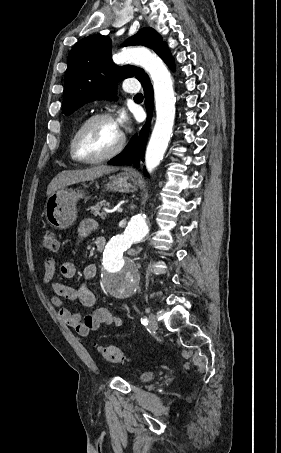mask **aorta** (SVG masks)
<instances>
[{
	"instance_id": "aorta-1",
	"label": "aorta",
	"mask_w": 281,
	"mask_h": 453,
	"mask_svg": "<svg viewBox=\"0 0 281 453\" xmlns=\"http://www.w3.org/2000/svg\"><path fill=\"white\" fill-rule=\"evenodd\" d=\"M113 61L142 67L153 82L156 122L145 153V165L151 173L162 161L173 133L176 98L170 72L156 54L144 47L123 49L113 56ZM148 231L146 216L138 214L132 217L122 234L107 243L102 261V284L112 297L124 299L136 291L140 279L138 270L123 253L142 240Z\"/></svg>"
}]
</instances>
